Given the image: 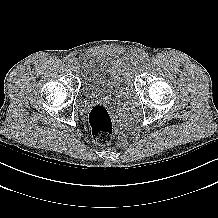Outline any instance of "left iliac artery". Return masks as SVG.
<instances>
[{"instance_id": "obj_1", "label": "left iliac artery", "mask_w": 218, "mask_h": 218, "mask_svg": "<svg viewBox=\"0 0 218 218\" xmlns=\"http://www.w3.org/2000/svg\"><path fill=\"white\" fill-rule=\"evenodd\" d=\"M148 58H149V57H148L147 53H143V54L141 55V61H143L144 63L148 61Z\"/></svg>"}]
</instances>
